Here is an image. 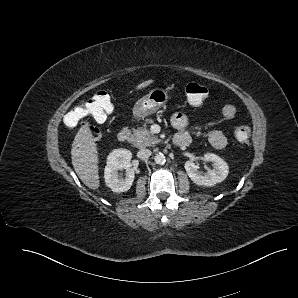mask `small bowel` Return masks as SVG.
<instances>
[{"label": "small bowel", "instance_id": "small-bowel-1", "mask_svg": "<svg viewBox=\"0 0 298 298\" xmlns=\"http://www.w3.org/2000/svg\"><path fill=\"white\" fill-rule=\"evenodd\" d=\"M221 114L225 119H232L236 114L233 105L227 104L222 107ZM171 125L178 130H184L188 125V119L183 113H175L171 117ZM209 142L216 149H223L227 146L228 140L223 132L213 130L209 134Z\"/></svg>", "mask_w": 298, "mask_h": 298}]
</instances>
